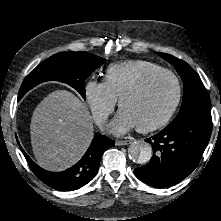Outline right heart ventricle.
<instances>
[{
  "label": "right heart ventricle",
  "instance_id": "e07e8e85",
  "mask_svg": "<svg viewBox=\"0 0 221 221\" xmlns=\"http://www.w3.org/2000/svg\"><path fill=\"white\" fill-rule=\"evenodd\" d=\"M164 69L147 60H126L110 64L104 74V82L113 96H119L148 73Z\"/></svg>",
  "mask_w": 221,
  "mask_h": 221
}]
</instances>
